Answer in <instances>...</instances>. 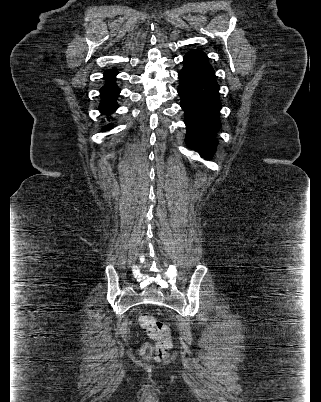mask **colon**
Segmentation results:
<instances>
[{"label": "colon", "instance_id": "5ec220e1", "mask_svg": "<svg viewBox=\"0 0 321 402\" xmlns=\"http://www.w3.org/2000/svg\"><path fill=\"white\" fill-rule=\"evenodd\" d=\"M138 322L140 327L151 338L158 341L155 346L149 343L144 344L141 350L142 355L146 358H154L155 360L167 358L171 345L169 329L149 312H142L139 315Z\"/></svg>", "mask_w": 321, "mask_h": 402}]
</instances>
